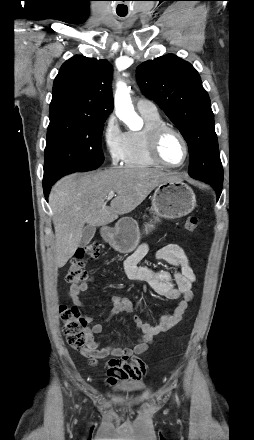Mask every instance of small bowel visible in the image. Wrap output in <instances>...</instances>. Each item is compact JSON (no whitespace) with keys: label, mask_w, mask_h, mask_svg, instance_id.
Here are the masks:
<instances>
[{"label":"small bowel","mask_w":254,"mask_h":440,"mask_svg":"<svg viewBox=\"0 0 254 440\" xmlns=\"http://www.w3.org/2000/svg\"><path fill=\"white\" fill-rule=\"evenodd\" d=\"M149 246L142 243L124 261L123 270L128 279L146 282L159 296L169 300H175L176 305L170 313L160 317L156 325L143 322L138 315H134L137 329L141 337L133 348L115 347L113 345L102 346L95 336L101 334L103 326L99 323L92 325L87 330V344L81 354L95 363L98 359L113 357L108 361L107 373L110 382L117 380H141L146 373V365L136 355L144 353L154 338L177 325L183 318L189 302L193 298L192 284L196 275L184 250L177 244H168L160 247L155 252L158 261L169 263L177 268L175 271L158 270L149 265H141L140 262L147 255ZM88 288V283L73 284L68 290V296L77 309H82L84 304L80 298L82 292ZM135 305L128 298H112V310L106 317L119 313H134ZM92 321V317L87 318ZM133 357L128 363L127 358Z\"/></svg>","instance_id":"obj_1"}]
</instances>
